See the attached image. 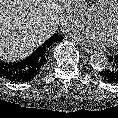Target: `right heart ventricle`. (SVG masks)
<instances>
[{
	"label": "right heart ventricle",
	"mask_w": 118,
	"mask_h": 118,
	"mask_svg": "<svg viewBox=\"0 0 118 118\" xmlns=\"http://www.w3.org/2000/svg\"><path fill=\"white\" fill-rule=\"evenodd\" d=\"M111 0H91L92 7L95 10L100 11L103 9Z\"/></svg>",
	"instance_id": "obj_1"
}]
</instances>
